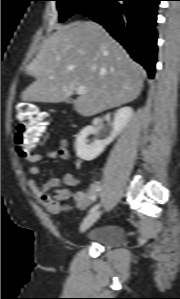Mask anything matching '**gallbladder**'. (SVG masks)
Instances as JSON below:
<instances>
[{"instance_id":"obj_1","label":"gallbladder","mask_w":180,"mask_h":299,"mask_svg":"<svg viewBox=\"0 0 180 299\" xmlns=\"http://www.w3.org/2000/svg\"><path fill=\"white\" fill-rule=\"evenodd\" d=\"M73 101H74L73 99H68L67 103H73Z\"/></svg>"}]
</instances>
